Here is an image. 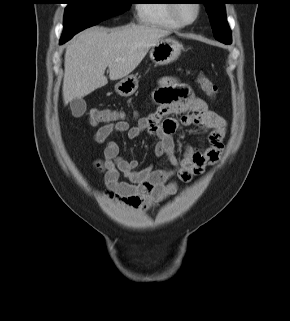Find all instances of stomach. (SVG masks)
<instances>
[{
  "mask_svg": "<svg viewBox=\"0 0 290 321\" xmlns=\"http://www.w3.org/2000/svg\"><path fill=\"white\" fill-rule=\"evenodd\" d=\"M183 50V45L170 37H163L152 46L150 58L155 65H167L178 59ZM138 89L136 76L129 75L121 79L116 85L115 90L120 96L128 97Z\"/></svg>",
  "mask_w": 290,
  "mask_h": 321,
  "instance_id": "obj_1",
  "label": "stomach"
}]
</instances>
